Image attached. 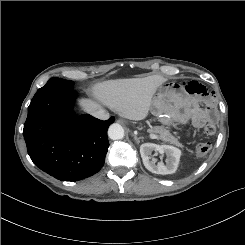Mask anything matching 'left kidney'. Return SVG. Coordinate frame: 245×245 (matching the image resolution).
Masks as SVG:
<instances>
[{
  "instance_id": "5707ae66",
  "label": "left kidney",
  "mask_w": 245,
  "mask_h": 245,
  "mask_svg": "<svg viewBox=\"0 0 245 245\" xmlns=\"http://www.w3.org/2000/svg\"><path fill=\"white\" fill-rule=\"evenodd\" d=\"M160 153L161 155L166 154V164L158 162L156 164L155 159H151L152 152ZM140 154L143 160V164L147 170L155 174H173L179 165L181 151L173 146L169 145H157L153 143H145L140 146Z\"/></svg>"
}]
</instances>
